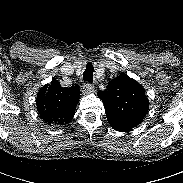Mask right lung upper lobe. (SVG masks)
Instances as JSON below:
<instances>
[{"instance_id": "obj_1", "label": "right lung upper lobe", "mask_w": 183, "mask_h": 183, "mask_svg": "<svg viewBox=\"0 0 183 183\" xmlns=\"http://www.w3.org/2000/svg\"><path fill=\"white\" fill-rule=\"evenodd\" d=\"M79 92L78 85L62 87L57 80L44 85L36 98L40 117L49 125L69 123L79 102Z\"/></svg>"}]
</instances>
